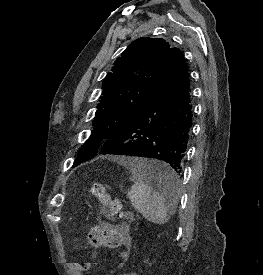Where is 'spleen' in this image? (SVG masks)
I'll use <instances>...</instances> for the list:
<instances>
[{
  "mask_svg": "<svg viewBox=\"0 0 263 275\" xmlns=\"http://www.w3.org/2000/svg\"><path fill=\"white\" fill-rule=\"evenodd\" d=\"M121 164L132 174L134 182L130 191L127 193L132 206L148 221L154 224H164L168 221V207L166 197L158 191L153 190L147 182L144 170L157 169L171 171L165 163L148 161L142 158H127ZM179 179L176 177L173 191L169 195L170 201H176Z\"/></svg>",
  "mask_w": 263,
  "mask_h": 275,
  "instance_id": "spleen-1",
  "label": "spleen"
}]
</instances>
